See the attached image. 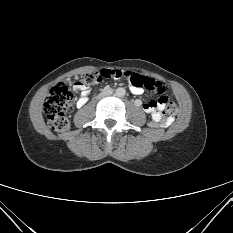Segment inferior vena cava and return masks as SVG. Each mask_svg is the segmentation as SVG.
Masks as SVG:
<instances>
[{
	"label": "inferior vena cava",
	"mask_w": 233,
	"mask_h": 233,
	"mask_svg": "<svg viewBox=\"0 0 233 233\" xmlns=\"http://www.w3.org/2000/svg\"><path fill=\"white\" fill-rule=\"evenodd\" d=\"M113 93H114L113 90L110 89V88H108V89L105 90V92H104V91L101 92L99 96H100L101 99L104 100V99L107 98V96H108V97L112 96Z\"/></svg>",
	"instance_id": "1"
}]
</instances>
